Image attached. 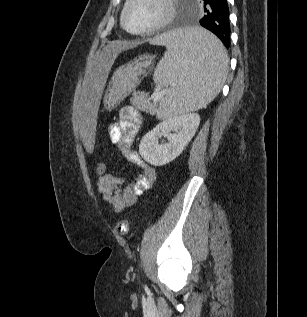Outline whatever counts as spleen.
Segmentation results:
<instances>
[{
    "mask_svg": "<svg viewBox=\"0 0 307 317\" xmlns=\"http://www.w3.org/2000/svg\"><path fill=\"white\" fill-rule=\"evenodd\" d=\"M145 45L167 49L153 76L167 88L158 118L199 110L220 92L228 73V55L204 26H177L170 33H153Z\"/></svg>",
    "mask_w": 307,
    "mask_h": 317,
    "instance_id": "obj_1",
    "label": "spleen"
}]
</instances>
